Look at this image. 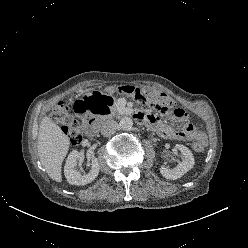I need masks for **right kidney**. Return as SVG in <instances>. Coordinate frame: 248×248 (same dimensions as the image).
Returning a JSON list of instances; mask_svg holds the SVG:
<instances>
[{
  "mask_svg": "<svg viewBox=\"0 0 248 248\" xmlns=\"http://www.w3.org/2000/svg\"><path fill=\"white\" fill-rule=\"evenodd\" d=\"M79 159V153L73 150L67 157L64 166V174L67 182L72 185H86L92 182L99 174V163L97 158H93L91 161V170L89 173L82 175L75 169Z\"/></svg>",
  "mask_w": 248,
  "mask_h": 248,
  "instance_id": "obj_1",
  "label": "right kidney"
}]
</instances>
